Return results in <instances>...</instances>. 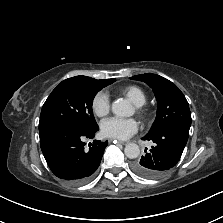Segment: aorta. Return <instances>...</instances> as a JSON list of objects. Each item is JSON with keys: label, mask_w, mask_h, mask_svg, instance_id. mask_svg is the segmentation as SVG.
<instances>
[{"label": "aorta", "mask_w": 223, "mask_h": 223, "mask_svg": "<svg viewBox=\"0 0 223 223\" xmlns=\"http://www.w3.org/2000/svg\"><path fill=\"white\" fill-rule=\"evenodd\" d=\"M112 112L118 117H130L133 115V108L130 103L123 99L115 100L112 103ZM124 153L129 159H136L140 154V148L135 143L125 146Z\"/></svg>", "instance_id": "obj_1"}]
</instances>
